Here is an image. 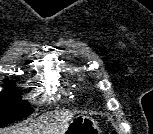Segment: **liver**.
Masks as SVG:
<instances>
[{"label":"liver","instance_id":"liver-1","mask_svg":"<svg viewBox=\"0 0 153 134\" xmlns=\"http://www.w3.org/2000/svg\"><path fill=\"white\" fill-rule=\"evenodd\" d=\"M73 113L66 111L57 113L55 116L56 123L49 124L46 128L44 125L37 123L31 124L29 126L18 127L14 129H4L0 130V134H40L41 132H46L47 134H63L73 118ZM42 121V119H40ZM57 121L59 122L57 124ZM46 129V130H45Z\"/></svg>","mask_w":153,"mask_h":134}]
</instances>
